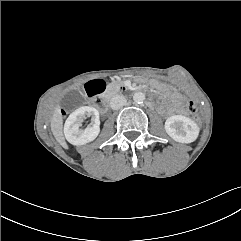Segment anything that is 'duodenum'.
Segmentation results:
<instances>
[{
	"instance_id": "1",
	"label": "duodenum",
	"mask_w": 241,
	"mask_h": 241,
	"mask_svg": "<svg viewBox=\"0 0 241 241\" xmlns=\"http://www.w3.org/2000/svg\"><path fill=\"white\" fill-rule=\"evenodd\" d=\"M120 90L121 91H128L130 90V87L127 86V85H120ZM116 93V89L115 88H109L106 92H105V95L102 99V107L104 110H107L108 107H109V101L110 99L113 97V95Z\"/></svg>"
}]
</instances>
